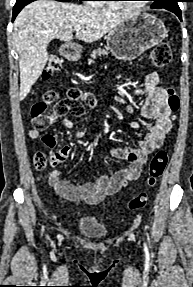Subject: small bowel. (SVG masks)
Segmentation results:
<instances>
[{"label":"small bowel","mask_w":193,"mask_h":287,"mask_svg":"<svg viewBox=\"0 0 193 287\" xmlns=\"http://www.w3.org/2000/svg\"><path fill=\"white\" fill-rule=\"evenodd\" d=\"M159 74L156 71H148L144 76L142 84L134 90L135 96H144V103L140 110V116L143 121L149 122L147 132L139 141L138 146H126L114 148L111 150V156L127 162V167L114 172L111 176L102 175L95 182L77 184L65 181L61 177V171L55 169L50 174L49 182L57 194L71 201L87 202L89 204H98L106 196L115 194L128 182L137 179L140 176L143 165L146 163L149 155L163 145L167 133L172 125L170 120V111L167 104L166 91L158 86ZM113 101L123 105L128 112L131 107L119 95L113 97ZM62 124L68 129H74L75 124L63 119ZM132 128H139L140 123L132 121ZM31 139H37L41 136L40 131L32 128L28 131ZM84 132L77 131L76 137L83 139ZM44 148H57V136L46 134L42 136ZM71 155V148L63 146L50 154V164L53 167L65 162Z\"/></svg>","instance_id":"1"}]
</instances>
